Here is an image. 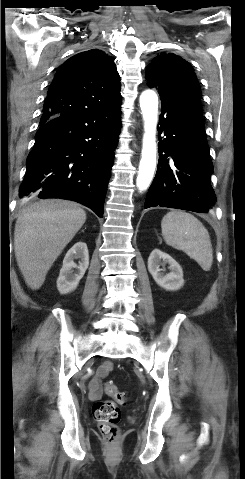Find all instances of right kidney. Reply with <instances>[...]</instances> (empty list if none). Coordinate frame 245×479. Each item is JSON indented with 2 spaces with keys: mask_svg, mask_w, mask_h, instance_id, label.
I'll return each instance as SVG.
<instances>
[{
  "mask_svg": "<svg viewBox=\"0 0 245 479\" xmlns=\"http://www.w3.org/2000/svg\"><path fill=\"white\" fill-rule=\"evenodd\" d=\"M80 259L77 265L74 260ZM89 266V253L86 243H75L66 253L57 279V289L61 294L74 291ZM75 269V270H74Z\"/></svg>",
  "mask_w": 245,
  "mask_h": 479,
  "instance_id": "obj_1",
  "label": "right kidney"
}]
</instances>
